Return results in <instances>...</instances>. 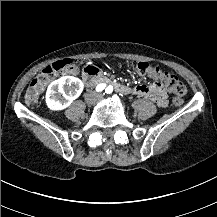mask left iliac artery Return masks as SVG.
Here are the masks:
<instances>
[{
  "label": "left iliac artery",
  "instance_id": "44dca946",
  "mask_svg": "<svg viewBox=\"0 0 217 217\" xmlns=\"http://www.w3.org/2000/svg\"><path fill=\"white\" fill-rule=\"evenodd\" d=\"M106 93H107V94H110V93H112V91H108V89H107V90H106Z\"/></svg>",
  "mask_w": 217,
  "mask_h": 217
}]
</instances>
